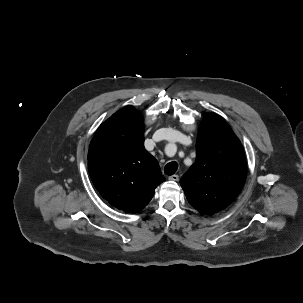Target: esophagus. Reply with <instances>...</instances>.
Here are the masks:
<instances>
[{"instance_id": "obj_1", "label": "esophagus", "mask_w": 303, "mask_h": 303, "mask_svg": "<svg viewBox=\"0 0 303 303\" xmlns=\"http://www.w3.org/2000/svg\"><path fill=\"white\" fill-rule=\"evenodd\" d=\"M168 179L172 180V181H178L179 180V176L177 174H174V175L169 176Z\"/></svg>"}]
</instances>
